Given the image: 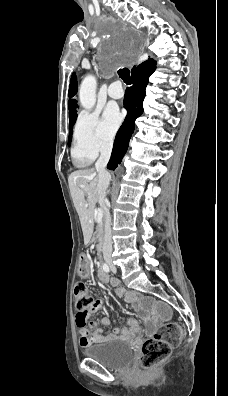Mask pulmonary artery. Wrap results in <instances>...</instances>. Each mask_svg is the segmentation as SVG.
Returning a JSON list of instances; mask_svg holds the SVG:
<instances>
[{"instance_id": "obj_1", "label": "pulmonary artery", "mask_w": 228, "mask_h": 396, "mask_svg": "<svg viewBox=\"0 0 228 396\" xmlns=\"http://www.w3.org/2000/svg\"><path fill=\"white\" fill-rule=\"evenodd\" d=\"M108 95L113 99H120L123 97L124 91L118 81H115L109 85Z\"/></svg>"}]
</instances>
